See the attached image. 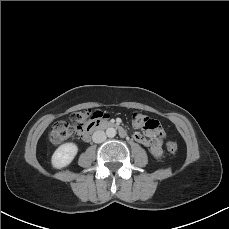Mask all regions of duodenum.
<instances>
[{
  "mask_svg": "<svg viewBox=\"0 0 229 229\" xmlns=\"http://www.w3.org/2000/svg\"><path fill=\"white\" fill-rule=\"evenodd\" d=\"M106 128L117 129L122 137H125L127 135L125 128L121 126L120 124L116 122H112V121H107L104 119H98V120L93 121L88 126L86 135H85V139L87 140L93 132H96L100 129H106Z\"/></svg>",
  "mask_w": 229,
  "mask_h": 229,
  "instance_id": "410a0bca",
  "label": "duodenum"
}]
</instances>
